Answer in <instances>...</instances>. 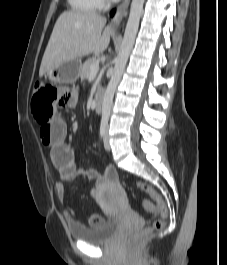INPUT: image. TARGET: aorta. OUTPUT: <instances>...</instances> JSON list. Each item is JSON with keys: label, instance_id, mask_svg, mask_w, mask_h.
<instances>
[{"label": "aorta", "instance_id": "762f6f07", "mask_svg": "<svg viewBox=\"0 0 227 265\" xmlns=\"http://www.w3.org/2000/svg\"><path fill=\"white\" fill-rule=\"evenodd\" d=\"M144 0H132L129 18L126 24L124 38L119 54L115 61V67L108 83L102 102V123H108L113 97L116 87L125 69L129 54L133 48L136 34L139 27L140 17L143 11Z\"/></svg>", "mask_w": 227, "mask_h": 265}]
</instances>
